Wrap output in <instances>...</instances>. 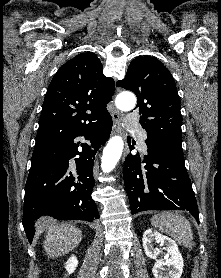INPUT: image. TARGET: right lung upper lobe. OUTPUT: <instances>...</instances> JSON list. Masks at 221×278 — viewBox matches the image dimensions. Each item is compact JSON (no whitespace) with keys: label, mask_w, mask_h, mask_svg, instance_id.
Here are the masks:
<instances>
[{"label":"right lung upper lobe","mask_w":221,"mask_h":278,"mask_svg":"<svg viewBox=\"0 0 221 278\" xmlns=\"http://www.w3.org/2000/svg\"><path fill=\"white\" fill-rule=\"evenodd\" d=\"M102 70L92 52L81 53L60 67L44 99L34 149L110 115L106 105L115 85Z\"/></svg>","instance_id":"cb5924a9"}]
</instances>
